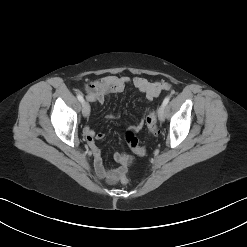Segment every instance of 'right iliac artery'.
<instances>
[{"label":"right iliac artery","instance_id":"1","mask_svg":"<svg viewBox=\"0 0 247 247\" xmlns=\"http://www.w3.org/2000/svg\"><path fill=\"white\" fill-rule=\"evenodd\" d=\"M77 98H78V100H79L81 103L84 102V98H83V96H82L81 94H77Z\"/></svg>","mask_w":247,"mask_h":247}]
</instances>
